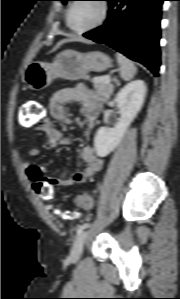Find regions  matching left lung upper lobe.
I'll return each mask as SVG.
<instances>
[{
  "mask_svg": "<svg viewBox=\"0 0 180 299\" xmlns=\"http://www.w3.org/2000/svg\"><path fill=\"white\" fill-rule=\"evenodd\" d=\"M59 1H62L63 3H66L67 1H70V0H59Z\"/></svg>",
  "mask_w": 180,
  "mask_h": 299,
  "instance_id": "1",
  "label": "left lung upper lobe"
}]
</instances>
